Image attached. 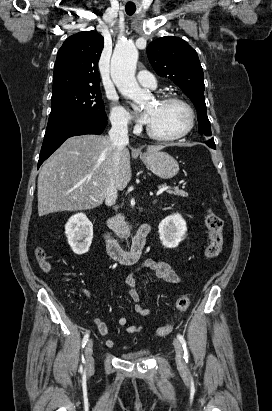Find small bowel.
Masks as SVG:
<instances>
[{
  "instance_id": "obj_1",
  "label": "small bowel",
  "mask_w": 272,
  "mask_h": 411,
  "mask_svg": "<svg viewBox=\"0 0 272 411\" xmlns=\"http://www.w3.org/2000/svg\"><path fill=\"white\" fill-rule=\"evenodd\" d=\"M143 270L151 271L158 279L163 280L172 284H179L182 282V277L173 269V267L164 260L160 259H145L137 263L125 276L124 282L129 289V295L134 301V311L139 316H149L151 314V309L144 306L141 303V296L136 289L135 275ZM128 323V319L124 316L118 319V324L124 326ZM94 324L103 337L109 334V328L107 324L99 317L94 318ZM146 328V324H131L127 326V332L130 334H138ZM137 344V338H133L132 342L122 345L123 349H127L130 345ZM106 346L113 348L116 346V342L112 339L106 340Z\"/></svg>"
}]
</instances>
